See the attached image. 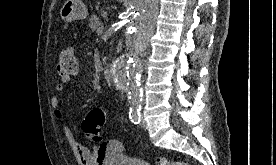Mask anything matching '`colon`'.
Masks as SVG:
<instances>
[{"instance_id": "1", "label": "colon", "mask_w": 276, "mask_h": 165, "mask_svg": "<svg viewBox=\"0 0 276 165\" xmlns=\"http://www.w3.org/2000/svg\"><path fill=\"white\" fill-rule=\"evenodd\" d=\"M78 70V62L73 47L63 48L59 54L57 73L60 77H71ZM107 119V111L104 108L92 109L82 121L83 131L93 140L99 142L98 150L101 154L119 150L118 144L114 141H105L101 138L102 128ZM156 165H189L183 161H170L165 157H158Z\"/></svg>"}]
</instances>
